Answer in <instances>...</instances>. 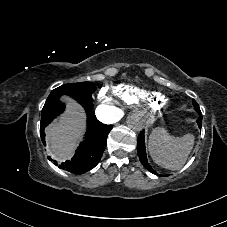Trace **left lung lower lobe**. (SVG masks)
I'll return each mask as SVG.
<instances>
[{"mask_svg":"<svg viewBox=\"0 0 227 227\" xmlns=\"http://www.w3.org/2000/svg\"><path fill=\"white\" fill-rule=\"evenodd\" d=\"M197 123H198L199 128L201 129L202 121L197 120ZM137 152H138V156H139V159H140L142 165L150 172L157 174L155 172V170L150 166V164L148 163V160H147L144 131H141L137 138Z\"/></svg>","mask_w":227,"mask_h":227,"instance_id":"0a47b994","label":"left lung lower lobe"}]
</instances>
